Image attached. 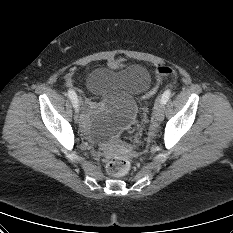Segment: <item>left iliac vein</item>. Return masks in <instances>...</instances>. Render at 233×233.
Segmentation results:
<instances>
[{
    "label": "left iliac vein",
    "instance_id": "left-iliac-vein-1",
    "mask_svg": "<svg viewBox=\"0 0 233 233\" xmlns=\"http://www.w3.org/2000/svg\"><path fill=\"white\" fill-rule=\"evenodd\" d=\"M154 118L156 121L161 122L164 119V105L160 98H158L154 105Z\"/></svg>",
    "mask_w": 233,
    "mask_h": 233
}]
</instances>
